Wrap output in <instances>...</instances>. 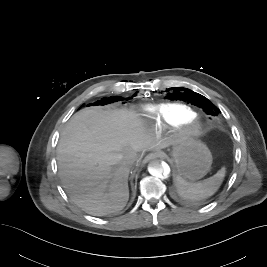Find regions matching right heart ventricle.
I'll use <instances>...</instances> for the list:
<instances>
[{
  "label": "right heart ventricle",
  "instance_id": "obj_1",
  "mask_svg": "<svg viewBox=\"0 0 267 267\" xmlns=\"http://www.w3.org/2000/svg\"><path fill=\"white\" fill-rule=\"evenodd\" d=\"M138 115L150 119L155 127L181 125L188 118L196 116L191 107L182 103L149 105L140 110Z\"/></svg>",
  "mask_w": 267,
  "mask_h": 267
}]
</instances>
